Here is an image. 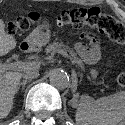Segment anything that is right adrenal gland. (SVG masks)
<instances>
[{"mask_svg": "<svg viewBox=\"0 0 125 125\" xmlns=\"http://www.w3.org/2000/svg\"><path fill=\"white\" fill-rule=\"evenodd\" d=\"M27 82H29V80H23L21 83H19L17 90H16V93L19 91L21 86H22V91H23Z\"/></svg>", "mask_w": 125, "mask_h": 125, "instance_id": "obj_1", "label": "right adrenal gland"}]
</instances>
